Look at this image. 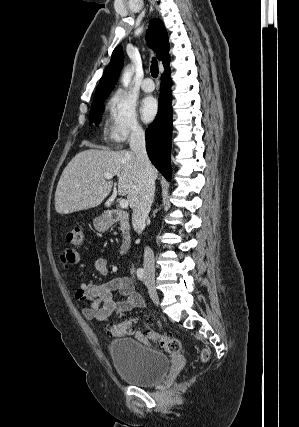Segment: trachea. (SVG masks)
Segmentation results:
<instances>
[{"label": "trachea", "mask_w": 299, "mask_h": 427, "mask_svg": "<svg viewBox=\"0 0 299 427\" xmlns=\"http://www.w3.org/2000/svg\"><path fill=\"white\" fill-rule=\"evenodd\" d=\"M150 71H151V75L154 78H157L158 73H159V69H158V62L155 58H153V60L151 61Z\"/></svg>", "instance_id": "trachea-1"}]
</instances>
